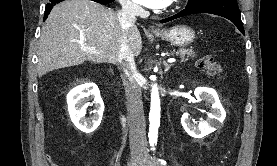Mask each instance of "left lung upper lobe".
Listing matches in <instances>:
<instances>
[{
  "label": "left lung upper lobe",
  "instance_id": "left-lung-upper-lobe-1",
  "mask_svg": "<svg viewBox=\"0 0 277 166\" xmlns=\"http://www.w3.org/2000/svg\"><path fill=\"white\" fill-rule=\"evenodd\" d=\"M204 1H207V0H188V4L186 7H192Z\"/></svg>",
  "mask_w": 277,
  "mask_h": 166
}]
</instances>
